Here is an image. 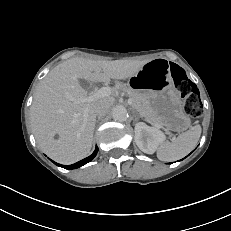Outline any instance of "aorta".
<instances>
[{
	"label": "aorta",
	"mask_w": 231,
	"mask_h": 231,
	"mask_svg": "<svg viewBox=\"0 0 231 231\" xmlns=\"http://www.w3.org/2000/svg\"><path fill=\"white\" fill-rule=\"evenodd\" d=\"M112 117L115 121L123 122L127 119L128 113L124 106L117 105L112 109Z\"/></svg>",
	"instance_id": "obj_1"
}]
</instances>
